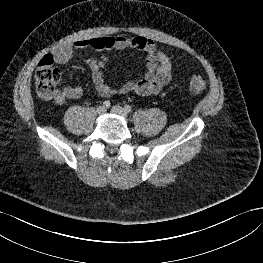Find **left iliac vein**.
I'll use <instances>...</instances> for the list:
<instances>
[{
    "mask_svg": "<svg viewBox=\"0 0 263 263\" xmlns=\"http://www.w3.org/2000/svg\"><path fill=\"white\" fill-rule=\"evenodd\" d=\"M111 112L122 117H127V112L125 111V109L118 105L113 106Z\"/></svg>",
    "mask_w": 263,
    "mask_h": 263,
    "instance_id": "1",
    "label": "left iliac vein"
}]
</instances>
